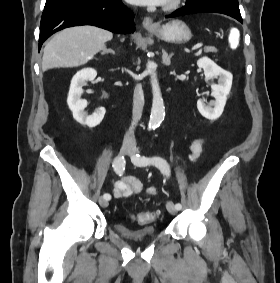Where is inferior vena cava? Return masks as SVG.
<instances>
[{
  "label": "inferior vena cava",
  "mask_w": 280,
  "mask_h": 283,
  "mask_svg": "<svg viewBox=\"0 0 280 283\" xmlns=\"http://www.w3.org/2000/svg\"><path fill=\"white\" fill-rule=\"evenodd\" d=\"M144 106V94L141 85H136L133 95V117L132 124L127 133L124 136L123 144L135 146L136 140L134 136V128L138 121L141 119Z\"/></svg>",
  "instance_id": "1"
}]
</instances>
